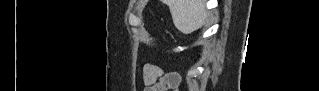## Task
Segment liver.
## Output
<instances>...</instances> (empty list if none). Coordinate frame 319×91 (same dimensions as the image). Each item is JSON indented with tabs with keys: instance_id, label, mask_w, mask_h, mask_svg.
Wrapping results in <instances>:
<instances>
[{
	"instance_id": "liver-1",
	"label": "liver",
	"mask_w": 319,
	"mask_h": 91,
	"mask_svg": "<svg viewBox=\"0 0 319 91\" xmlns=\"http://www.w3.org/2000/svg\"><path fill=\"white\" fill-rule=\"evenodd\" d=\"M173 22L183 33H190L202 26L206 12L204 0H168Z\"/></svg>"
}]
</instances>
